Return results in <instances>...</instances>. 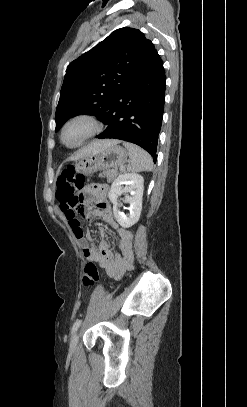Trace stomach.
Masks as SVG:
<instances>
[{"label":"stomach","instance_id":"0dacf381","mask_svg":"<svg viewBox=\"0 0 247 407\" xmlns=\"http://www.w3.org/2000/svg\"><path fill=\"white\" fill-rule=\"evenodd\" d=\"M127 151L119 145H111L96 154L83 157L75 162L76 173L89 175L98 170H110L124 165L127 161Z\"/></svg>","mask_w":247,"mask_h":407}]
</instances>
